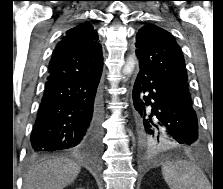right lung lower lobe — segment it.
Wrapping results in <instances>:
<instances>
[{"label":"right lung lower lobe","mask_w":223,"mask_h":189,"mask_svg":"<svg viewBox=\"0 0 223 189\" xmlns=\"http://www.w3.org/2000/svg\"><path fill=\"white\" fill-rule=\"evenodd\" d=\"M101 72L45 84L31 133V154L74 147L96 152L100 145L101 111L98 85Z\"/></svg>","instance_id":"right-lung-lower-lobe-1"}]
</instances>
